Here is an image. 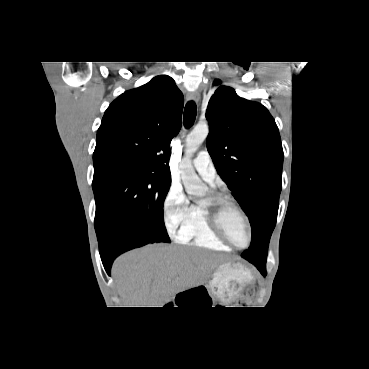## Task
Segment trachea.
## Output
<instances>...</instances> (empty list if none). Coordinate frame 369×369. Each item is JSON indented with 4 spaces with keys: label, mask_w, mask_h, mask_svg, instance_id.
Instances as JSON below:
<instances>
[{
    "label": "trachea",
    "mask_w": 369,
    "mask_h": 369,
    "mask_svg": "<svg viewBox=\"0 0 369 369\" xmlns=\"http://www.w3.org/2000/svg\"><path fill=\"white\" fill-rule=\"evenodd\" d=\"M197 107L194 101H189L184 109V126L190 128L196 118Z\"/></svg>",
    "instance_id": "trachea-1"
}]
</instances>
